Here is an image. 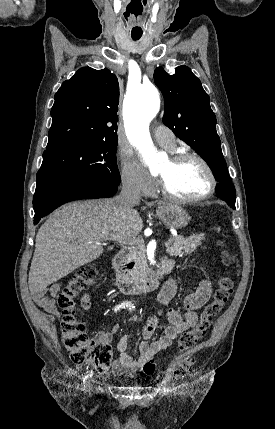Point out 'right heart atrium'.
<instances>
[{"label": "right heart atrium", "mask_w": 275, "mask_h": 429, "mask_svg": "<svg viewBox=\"0 0 275 429\" xmlns=\"http://www.w3.org/2000/svg\"><path fill=\"white\" fill-rule=\"evenodd\" d=\"M121 181L126 189L138 194L149 193L154 187L152 181L127 160L122 161Z\"/></svg>", "instance_id": "right-heart-atrium-1"}]
</instances>
